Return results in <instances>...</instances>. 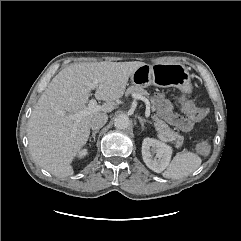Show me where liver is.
Instances as JSON below:
<instances>
[{
	"label": "liver",
	"instance_id": "6515ba94",
	"mask_svg": "<svg viewBox=\"0 0 241 241\" xmlns=\"http://www.w3.org/2000/svg\"><path fill=\"white\" fill-rule=\"evenodd\" d=\"M144 62H90L61 70L40 96L28 122L29 150L34 162L51 174L65 178L74 174L72 161L86 144L90 122L98 114L110 113L124 95L129 77ZM101 80L95 97L101 109L76 122L72 114L86 108L91 95L88 84Z\"/></svg>",
	"mask_w": 241,
	"mask_h": 241
}]
</instances>
